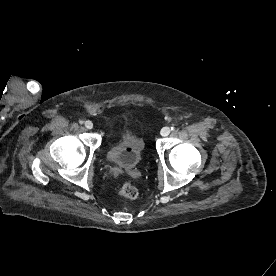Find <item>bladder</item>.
Returning a JSON list of instances; mask_svg holds the SVG:
<instances>
[{"mask_svg": "<svg viewBox=\"0 0 276 276\" xmlns=\"http://www.w3.org/2000/svg\"><path fill=\"white\" fill-rule=\"evenodd\" d=\"M144 142L135 135L125 132L107 152L108 159L125 168L136 167L142 160Z\"/></svg>", "mask_w": 276, "mask_h": 276, "instance_id": "31cf9c89", "label": "bladder"}]
</instances>
